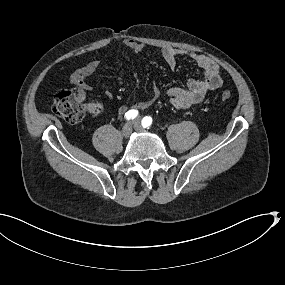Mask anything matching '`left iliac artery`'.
Listing matches in <instances>:
<instances>
[{"mask_svg":"<svg viewBox=\"0 0 285 285\" xmlns=\"http://www.w3.org/2000/svg\"><path fill=\"white\" fill-rule=\"evenodd\" d=\"M152 123V118L149 116H146L142 119V126L144 128H149V126L151 125Z\"/></svg>","mask_w":285,"mask_h":285,"instance_id":"1","label":"left iliac artery"}]
</instances>
